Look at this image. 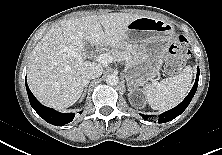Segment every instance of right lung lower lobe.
<instances>
[{"mask_svg":"<svg viewBox=\"0 0 222 155\" xmlns=\"http://www.w3.org/2000/svg\"><path fill=\"white\" fill-rule=\"evenodd\" d=\"M25 83L31 106L37 112V114L46 122L56 126H64L65 124L71 122L74 119V113H59L54 109L42 105L30 91L27 82Z\"/></svg>","mask_w":222,"mask_h":155,"instance_id":"98d812e1","label":"right lung lower lobe"}]
</instances>
